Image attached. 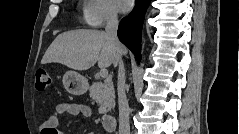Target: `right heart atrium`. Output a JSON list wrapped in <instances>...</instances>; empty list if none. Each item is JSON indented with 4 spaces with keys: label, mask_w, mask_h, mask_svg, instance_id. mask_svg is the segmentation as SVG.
Returning <instances> with one entry per match:
<instances>
[{
    "label": "right heart atrium",
    "mask_w": 239,
    "mask_h": 134,
    "mask_svg": "<svg viewBox=\"0 0 239 134\" xmlns=\"http://www.w3.org/2000/svg\"><path fill=\"white\" fill-rule=\"evenodd\" d=\"M118 19V11L111 0H89L84 7V21L92 27H102Z\"/></svg>",
    "instance_id": "obj_1"
}]
</instances>
